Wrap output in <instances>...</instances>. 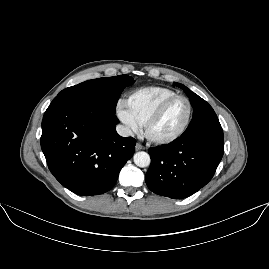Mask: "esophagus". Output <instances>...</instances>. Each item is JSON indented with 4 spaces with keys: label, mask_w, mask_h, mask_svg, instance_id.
<instances>
[{
    "label": "esophagus",
    "mask_w": 269,
    "mask_h": 269,
    "mask_svg": "<svg viewBox=\"0 0 269 269\" xmlns=\"http://www.w3.org/2000/svg\"><path fill=\"white\" fill-rule=\"evenodd\" d=\"M135 148H136V150H144V149H145V146L142 145V144H140V143H137V144L135 145Z\"/></svg>",
    "instance_id": "obj_1"
}]
</instances>
